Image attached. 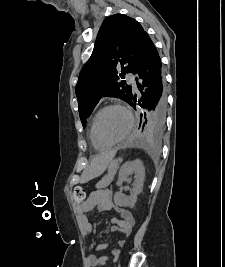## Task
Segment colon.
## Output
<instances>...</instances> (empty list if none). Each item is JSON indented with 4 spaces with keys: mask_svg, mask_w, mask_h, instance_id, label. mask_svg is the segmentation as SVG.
<instances>
[{
    "mask_svg": "<svg viewBox=\"0 0 225 267\" xmlns=\"http://www.w3.org/2000/svg\"><path fill=\"white\" fill-rule=\"evenodd\" d=\"M85 198L84 188L81 186H76L73 189V199L77 203H81Z\"/></svg>",
    "mask_w": 225,
    "mask_h": 267,
    "instance_id": "colon-1",
    "label": "colon"
}]
</instances>
